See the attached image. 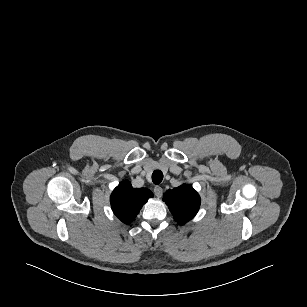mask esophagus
<instances>
[{
    "mask_svg": "<svg viewBox=\"0 0 307 307\" xmlns=\"http://www.w3.org/2000/svg\"><path fill=\"white\" fill-rule=\"evenodd\" d=\"M163 189L160 186H155L154 187V193L157 197L162 196Z\"/></svg>",
    "mask_w": 307,
    "mask_h": 307,
    "instance_id": "34e87169",
    "label": "esophagus"
}]
</instances>
